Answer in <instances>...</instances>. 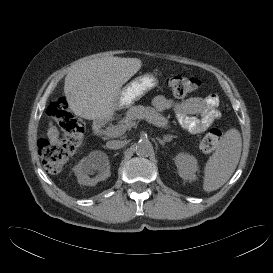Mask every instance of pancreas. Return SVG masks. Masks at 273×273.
I'll return each instance as SVG.
<instances>
[{"label":"pancreas","instance_id":"1","mask_svg":"<svg viewBox=\"0 0 273 273\" xmlns=\"http://www.w3.org/2000/svg\"><path fill=\"white\" fill-rule=\"evenodd\" d=\"M145 119L148 123L160 128H169V121L160 112L152 107H144L142 105L132 106L126 113V116L121 120L117 127L127 126L131 128L135 120Z\"/></svg>","mask_w":273,"mask_h":273}]
</instances>
